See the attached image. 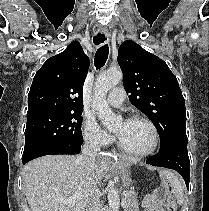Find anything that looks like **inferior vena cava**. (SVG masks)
<instances>
[{
    "label": "inferior vena cava",
    "mask_w": 209,
    "mask_h": 211,
    "mask_svg": "<svg viewBox=\"0 0 209 211\" xmlns=\"http://www.w3.org/2000/svg\"><path fill=\"white\" fill-rule=\"evenodd\" d=\"M99 146L96 142L89 140L86 141L82 148V154L77 157V162L84 168L86 172L92 175L95 167V160ZM86 211H102V205L100 203L99 189L95 185L91 192L90 198L87 204Z\"/></svg>",
    "instance_id": "602c4592"
}]
</instances>
